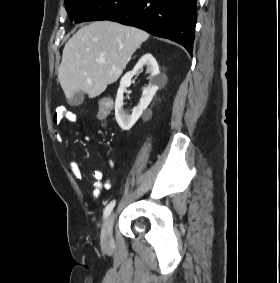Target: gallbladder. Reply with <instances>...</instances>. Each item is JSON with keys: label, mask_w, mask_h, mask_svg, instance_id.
Masks as SVG:
<instances>
[{"label": "gallbladder", "mask_w": 280, "mask_h": 283, "mask_svg": "<svg viewBox=\"0 0 280 283\" xmlns=\"http://www.w3.org/2000/svg\"><path fill=\"white\" fill-rule=\"evenodd\" d=\"M84 93L82 91H77L73 94L72 98L69 99V104L72 106H79L84 102Z\"/></svg>", "instance_id": "bac80fb5"}]
</instances>
